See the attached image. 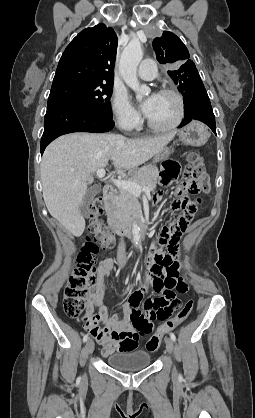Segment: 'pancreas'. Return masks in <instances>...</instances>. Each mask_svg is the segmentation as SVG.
<instances>
[{
	"mask_svg": "<svg viewBox=\"0 0 255 418\" xmlns=\"http://www.w3.org/2000/svg\"><path fill=\"white\" fill-rule=\"evenodd\" d=\"M158 174L156 166L147 165L136 171L129 180L142 187H148L152 191L156 187ZM110 209L113 214L121 219L137 216L139 202L135 194L119 188L111 199Z\"/></svg>",
	"mask_w": 255,
	"mask_h": 418,
	"instance_id": "pancreas-1",
	"label": "pancreas"
}]
</instances>
